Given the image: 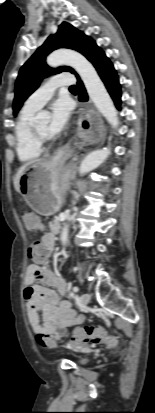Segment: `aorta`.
<instances>
[{"label":"aorta","mask_w":155,"mask_h":413,"mask_svg":"<svg viewBox=\"0 0 155 413\" xmlns=\"http://www.w3.org/2000/svg\"><path fill=\"white\" fill-rule=\"evenodd\" d=\"M47 64L51 67L67 64L74 68L81 77L87 93L98 111L105 117L114 129L119 126L117 111L111 97L109 96L93 65L83 55L73 50L59 49L52 52L47 57ZM45 116L46 114L44 112H40L36 116V119H42ZM109 155L110 149L108 148L89 153L82 160L79 166V174L83 176L94 170L100 166ZM68 230V224L65 223L60 237L63 245L67 243Z\"/></svg>","instance_id":"obj_1"}]
</instances>
